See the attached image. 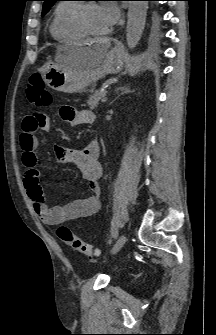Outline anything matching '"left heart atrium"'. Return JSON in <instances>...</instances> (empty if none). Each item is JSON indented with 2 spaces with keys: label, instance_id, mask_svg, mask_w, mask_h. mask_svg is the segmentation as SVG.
I'll use <instances>...</instances> for the list:
<instances>
[{
  "label": "left heart atrium",
  "instance_id": "1",
  "mask_svg": "<svg viewBox=\"0 0 216 335\" xmlns=\"http://www.w3.org/2000/svg\"><path fill=\"white\" fill-rule=\"evenodd\" d=\"M100 10L107 26V31L111 30L120 20V10L118 6L111 2L100 5Z\"/></svg>",
  "mask_w": 216,
  "mask_h": 335
}]
</instances>
